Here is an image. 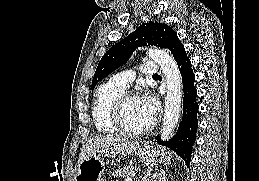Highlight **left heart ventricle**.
Returning a JSON list of instances; mask_svg holds the SVG:
<instances>
[{"mask_svg": "<svg viewBox=\"0 0 259 181\" xmlns=\"http://www.w3.org/2000/svg\"><path fill=\"white\" fill-rule=\"evenodd\" d=\"M124 119L126 125L133 129L143 128L152 121L140 108L137 97L131 98L125 103Z\"/></svg>", "mask_w": 259, "mask_h": 181, "instance_id": "1", "label": "left heart ventricle"}]
</instances>
